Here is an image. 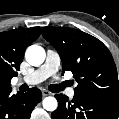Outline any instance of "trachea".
I'll return each mask as SVG.
<instances>
[{
  "label": "trachea",
  "mask_w": 119,
  "mask_h": 119,
  "mask_svg": "<svg viewBox=\"0 0 119 119\" xmlns=\"http://www.w3.org/2000/svg\"><path fill=\"white\" fill-rule=\"evenodd\" d=\"M65 86H66L65 83H62V84H53V85H50L49 86V89L53 93H58V92L62 91Z\"/></svg>",
  "instance_id": "obj_1"
}]
</instances>
